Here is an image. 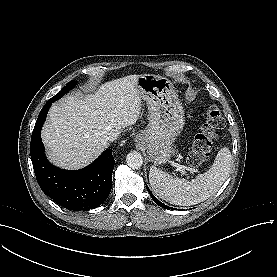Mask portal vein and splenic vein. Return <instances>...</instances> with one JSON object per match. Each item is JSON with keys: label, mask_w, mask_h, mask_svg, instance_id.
I'll return each instance as SVG.
<instances>
[{"label": "portal vein and splenic vein", "mask_w": 277, "mask_h": 277, "mask_svg": "<svg viewBox=\"0 0 277 277\" xmlns=\"http://www.w3.org/2000/svg\"><path fill=\"white\" fill-rule=\"evenodd\" d=\"M172 165H173L174 167H176L177 170H178L182 175L185 174V169L187 168L186 166L180 165V164L175 163V162H173Z\"/></svg>", "instance_id": "portal-vein-and-splenic-vein-1"}]
</instances>
